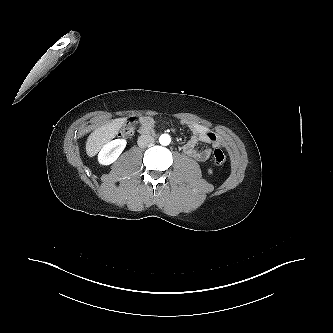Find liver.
<instances>
[{
    "instance_id": "6515ba94",
    "label": "liver",
    "mask_w": 333,
    "mask_h": 333,
    "mask_svg": "<svg viewBox=\"0 0 333 333\" xmlns=\"http://www.w3.org/2000/svg\"><path fill=\"white\" fill-rule=\"evenodd\" d=\"M125 121L126 118H117L96 128L86 141L87 155L95 156L107 142L116 136Z\"/></svg>"
}]
</instances>
